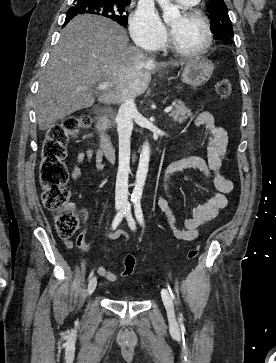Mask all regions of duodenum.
Returning a JSON list of instances; mask_svg holds the SVG:
<instances>
[{
  "instance_id": "1",
  "label": "duodenum",
  "mask_w": 276,
  "mask_h": 363,
  "mask_svg": "<svg viewBox=\"0 0 276 363\" xmlns=\"http://www.w3.org/2000/svg\"><path fill=\"white\" fill-rule=\"evenodd\" d=\"M109 125H110L109 113L107 111H100L97 114V130L99 134L101 149L104 155L110 161H114L115 148L109 134Z\"/></svg>"
}]
</instances>
